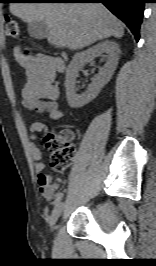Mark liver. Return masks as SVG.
I'll list each match as a JSON object with an SVG mask.
<instances>
[{"mask_svg":"<svg viewBox=\"0 0 156 266\" xmlns=\"http://www.w3.org/2000/svg\"><path fill=\"white\" fill-rule=\"evenodd\" d=\"M10 12L27 23L44 21L48 42L58 48L77 50L124 35L123 24L100 3H11Z\"/></svg>","mask_w":156,"mask_h":266,"instance_id":"obj_1","label":"liver"}]
</instances>
